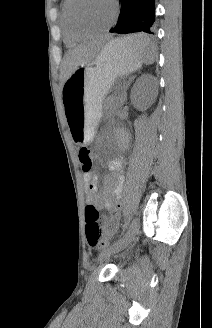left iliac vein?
I'll return each mask as SVG.
<instances>
[{
	"label": "left iliac vein",
	"mask_w": 212,
	"mask_h": 328,
	"mask_svg": "<svg viewBox=\"0 0 212 328\" xmlns=\"http://www.w3.org/2000/svg\"><path fill=\"white\" fill-rule=\"evenodd\" d=\"M140 227L139 218H134L125 235L118 240L115 244H113L110 248L101 252L99 257L97 258V263H102L107 260L112 254L117 253L127 247L136 237L138 230Z\"/></svg>",
	"instance_id": "4c4485c4"
}]
</instances>
